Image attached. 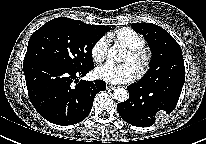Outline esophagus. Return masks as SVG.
Here are the masks:
<instances>
[{"label": "esophagus", "mask_w": 206, "mask_h": 144, "mask_svg": "<svg viewBox=\"0 0 206 144\" xmlns=\"http://www.w3.org/2000/svg\"><path fill=\"white\" fill-rule=\"evenodd\" d=\"M106 88H107L108 90H114V89L116 88V86L111 85V84H107V85H106Z\"/></svg>", "instance_id": "esophagus-1"}]
</instances>
